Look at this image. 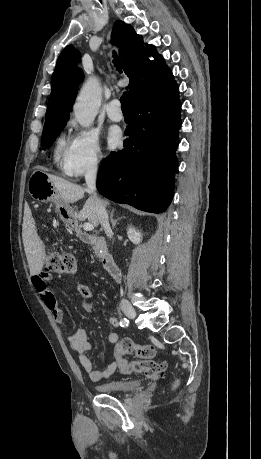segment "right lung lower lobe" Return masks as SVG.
I'll list each match as a JSON object with an SVG mask.
<instances>
[{
    "mask_svg": "<svg viewBox=\"0 0 261 459\" xmlns=\"http://www.w3.org/2000/svg\"><path fill=\"white\" fill-rule=\"evenodd\" d=\"M124 149L102 162L97 189L104 197L139 210L162 213L173 198L181 126L176 82L131 104Z\"/></svg>",
    "mask_w": 261,
    "mask_h": 459,
    "instance_id": "right-lung-lower-lobe-1",
    "label": "right lung lower lobe"
}]
</instances>
